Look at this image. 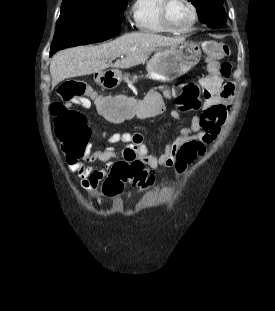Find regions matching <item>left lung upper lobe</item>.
<instances>
[{
  "mask_svg": "<svg viewBox=\"0 0 275 311\" xmlns=\"http://www.w3.org/2000/svg\"><path fill=\"white\" fill-rule=\"evenodd\" d=\"M197 9L199 20L210 28H219L227 21L223 0H189Z\"/></svg>",
  "mask_w": 275,
  "mask_h": 311,
  "instance_id": "1",
  "label": "left lung upper lobe"
}]
</instances>
